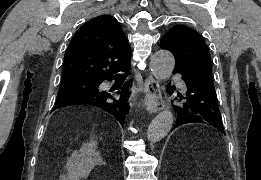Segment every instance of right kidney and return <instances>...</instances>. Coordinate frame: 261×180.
I'll return each mask as SVG.
<instances>
[{
	"label": "right kidney",
	"mask_w": 261,
	"mask_h": 180,
	"mask_svg": "<svg viewBox=\"0 0 261 180\" xmlns=\"http://www.w3.org/2000/svg\"><path fill=\"white\" fill-rule=\"evenodd\" d=\"M104 164L97 152V142L90 140L88 144H83L78 152H73L67 160L66 170L67 180H80L87 178L94 166Z\"/></svg>",
	"instance_id": "1"
}]
</instances>
